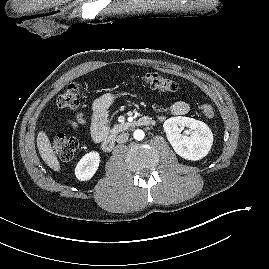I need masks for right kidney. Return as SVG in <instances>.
<instances>
[{
	"mask_svg": "<svg viewBox=\"0 0 269 269\" xmlns=\"http://www.w3.org/2000/svg\"><path fill=\"white\" fill-rule=\"evenodd\" d=\"M100 163L99 153L91 151L85 154L75 168L76 178L80 181L90 180L96 173Z\"/></svg>",
	"mask_w": 269,
	"mask_h": 269,
	"instance_id": "right-kidney-1",
	"label": "right kidney"
}]
</instances>
